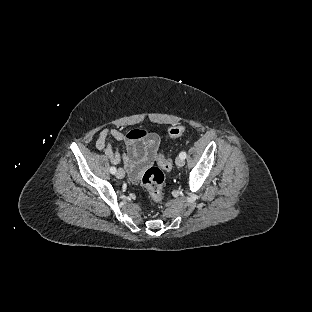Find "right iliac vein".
Returning <instances> with one entry per match:
<instances>
[{
    "instance_id": "right-iliac-vein-1",
    "label": "right iliac vein",
    "mask_w": 312,
    "mask_h": 312,
    "mask_svg": "<svg viewBox=\"0 0 312 312\" xmlns=\"http://www.w3.org/2000/svg\"><path fill=\"white\" fill-rule=\"evenodd\" d=\"M116 177L118 179H123L125 177V172L122 168H119L117 173H116Z\"/></svg>"
}]
</instances>
